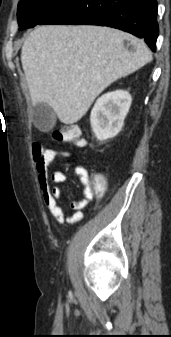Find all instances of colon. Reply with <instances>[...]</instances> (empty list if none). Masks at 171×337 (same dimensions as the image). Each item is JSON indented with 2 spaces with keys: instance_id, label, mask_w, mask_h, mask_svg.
<instances>
[{
  "instance_id": "1",
  "label": "colon",
  "mask_w": 171,
  "mask_h": 337,
  "mask_svg": "<svg viewBox=\"0 0 171 337\" xmlns=\"http://www.w3.org/2000/svg\"><path fill=\"white\" fill-rule=\"evenodd\" d=\"M52 138L58 143H67L75 146H84L85 140L82 136L81 130L73 124L66 125L62 129L55 130ZM93 193L97 197L104 195L107 188V181L101 174H95L89 177Z\"/></svg>"
}]
</instances>
